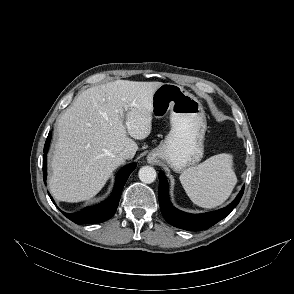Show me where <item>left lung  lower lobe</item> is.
<instances>
[{
  "instance_id": "obj_1",
  "label": "left lung lower lobe",
  "mask_w": 294,
  "mask_h": 294,
  "mask_svg": "<svg viewBox=\"0 0 294 294\" xmlns=\"http://www.w3.org/2000/svg\"><path fill=\"white\" fill-rule=\"evenodd\" d=\"M243 192L244 186L234 201L223 209L204 214H188L172 206L168 196L167 180L163 173H159L158 198L161 213L169 224L188 231L206 230L225 218L238 205Z\"/></svg>"
}]
</instances>
